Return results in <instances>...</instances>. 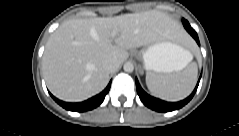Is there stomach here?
I'll use <instances>...</instances> for the list:
<instances>
[{
	"label": "stomach",
	"instance_id": "obj_1",
	"mask_svg": "<svg viewBox=\"0 0 239 136\" xmlns=\"http://www.w3.org/2000/svg\"><path fill=\"white\" fill-rule=\"evenodd\" d=\"M188 54L189 51L170 39H162L143 49L138 59L143 60L146 71L162 74L182 70L188 61Z\"/></svg>",
	"mask_w": 239,
	"mask_h": 136
}]
</instances>
